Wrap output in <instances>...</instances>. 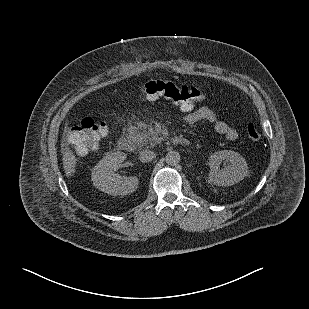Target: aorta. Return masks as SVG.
Returning a JSON list of instances; mask_svg holds the SVG:
<instances>
[{
  "label": "aorta",
  "instance_id": "aorta-1",
  "mask_svg": "<svg viewBox=\"0 0 309 309\" xmlns=\"http://www.w3.org/2000/svg\"><path fill=\"white\" fill-rule=\"evenodd\" d=\"M180 154L177 151H170L165 156V162L170 166H175L180 162Z\"/></svg>",
  "mask_w": 309,
  "mask_h": 309
}]
</instances>
